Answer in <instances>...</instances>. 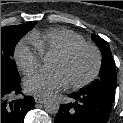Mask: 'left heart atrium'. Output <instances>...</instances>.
Returning <instances> with one entry per match:
<instances>
[{"instance_id":"1","label":"left heart atrium","mask_w":123,"mask_h":123,"mask_svg":"<svg viewBox=\"0 0 123 123\" xmlns=\"http://www.w3.org/2000/svg\"><path fill=\"white\" fill-rule=\"evenodd\" d=\"M67 84L65 75L58 69L38 70L27 76L24 82L27 92L42 97L52 95Z\"/></svg>"}]
</instances>
